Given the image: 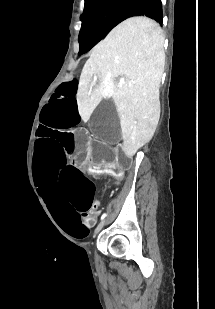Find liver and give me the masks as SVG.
<instances>
[{
    "label": "liver",
    "instance_id": "obj_1",
    "mask_svg": "<svg viewBox=\"0 0 215 309\" xmlns=\"http://www.w3.org/2000/svg\"><path fill=\"white\" fill-rule=\"evenodd\" d=\"M164 60L161 26L147 16H131L92 48L83 66L77 92L80 116L87 122L102 98H113L129 159L149 142L158 124ZM93 74L100 80L96 88L90 84ZM116 76L125 78L123 86Z\"/></svg>",
    "mask_w": 215,
    "mask_h": 309
}]
</instances>
